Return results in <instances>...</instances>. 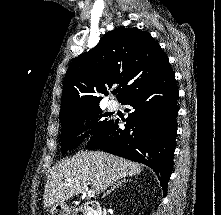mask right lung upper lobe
<instances>
[{
	"label": "right lung upper lobe",
	"mask_w": 221,
	"mask_h": 215,
	"mask_svg": "<svg viewBox=\"0 0 221 215\" xmlns=\"http://www.w3.org/2000/svg\"><path fill=\"white\" fill-rule=\"evenodd\" d=\"M171 69L167 55L146 31L116 28L89 52L76 57L66 72L60 120L99 107L102 95L118 86L123 101Z\"/></svg>",
	"instance_id": "right-lung-upper-lobe-1"
}]
</instances>
